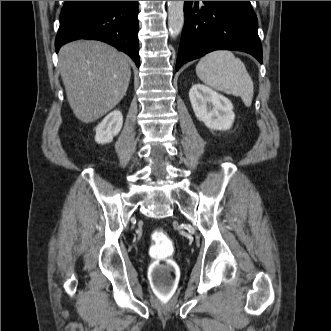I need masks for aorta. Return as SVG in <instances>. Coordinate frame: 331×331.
Returning <instances> with one entry per match:
<instances>
[{"instance_id":"aorta-1","label":"aorta","mask_w":331,"mask_h":331,"mask_svg":"<svg viewBox=\"0 0 331 331\" xmlns=\"http://www.w3.org/2000/svg\"><path fill=\"white\" fill-rule=\"evenodd\" d=\"M184 25V1H168V29L172 38L177 37Z\"/></svg>"}]
</instances>
